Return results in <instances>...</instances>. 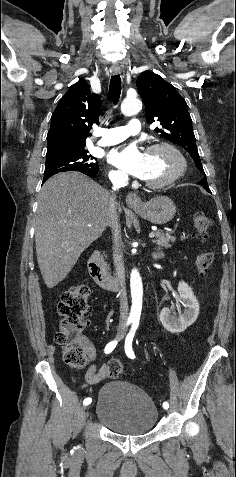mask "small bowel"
<instances>
[{
    "mask_svg": "<svg viewBox=\"0 0 236 477\" xmlns=\"http://www.w3.org/2000/svg\"><path fill=\"white\" fill-rule=\"evenodd\" d=\"M84 349L91 361V365L86 373V380L90 384H96L102 381L108 374V367L107 365H103L100 368L96 366L97 360V351L94 345L87 339H82Z\"/></svg>",
    "mask_w": 236,
    "mask_h": 477,
    "instance_id": "small-bowel-1",
    "label": "small bowel"
}]
</instances>
